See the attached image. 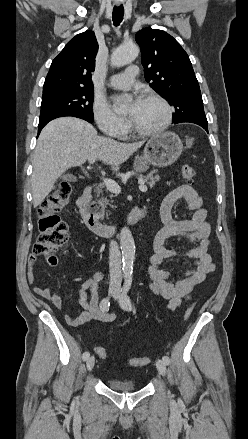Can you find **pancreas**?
<instances>
[{"mask_svg":"<svg viewBox=\"0 0 248 439\" xmlns=\"http://www.w3.org/2000/svg\"><path fill=\"white\" fill-rule=\"evenodd\" d=\"M156 173L155 170L151 171L149 174H147L146 176L143 175H139V179H142V181L144 183H148L151 187L155 185L156 181L159 180V176L158 175H154ZM104 188V184H99L96 187V192L99 195L101 193V190ZM111 202H113V200H111ZM98 203L102 206V208H105L108 204H109V200H107L106 197H102L98 200Z\"/></svg>","mask_w":248,"mask_h":439,"instance_id":"pancreas-1","label":"pancreas"}]
</instances>
